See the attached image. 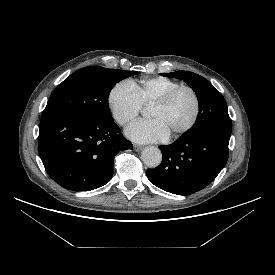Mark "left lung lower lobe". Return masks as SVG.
Returning a JSON list of instances; mask_svg holds the SVG:
<instances>
[{"mask_svg": "<svg viewBox=\"0 0 275 275\" xmlns=\"http://www.w3.org/2000/svg\"><path fill=\"white\" fill-rule=\"evenodd\" d=\"M228 134L181 136L176 142L160 146L161 165L148 169L150 182L178 195H190L209 185L228 160Z\"/></svg>", "mask_w": 275, "mask_h": 275, "instance_id": "0a47b994", "label": "left lung lower lobe"}]
</instances>
